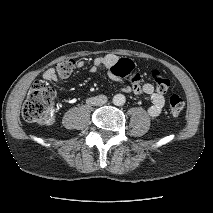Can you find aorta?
<instances>
[{"instance_id": "762f6f07", "label": "aorta", "mask_w": 213, "mask_h": 213, "mask_svg": "<svg viewBox=\"0 0 213 213\" xmlns=\"http://www.w3.org/2000/svg\"><path fill=\"white\" fill-rule=\"evenodd\" d=\"M126 102V98L123 94H116L114 97H113V103L116 105V106H122L124 105Z\"/></svg>"}]
</instances>
